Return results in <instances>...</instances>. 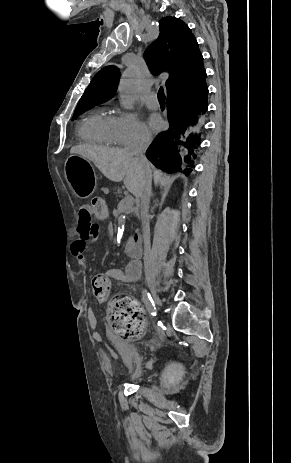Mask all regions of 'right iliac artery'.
Returning a JSON list of instances; mask_svg holds the SVG:
<instances>
[{
    "mask_svg": "<svg viewBox=\"0 0 291 463\" xmlns=\"http://www.w3.org/2000/svg\"><path fill=\"white\" fill-rule=\"evenodd\" d=\"M143 301L146 305V308L147 310L149 311V313L153 316L156 315V307H155V304L153 302V299L150 295V293H148L146 290L143 291Z\"/></svg>",
    "mask_w": 291,
    "mask_h": 463,
    "instance_id": "right-iliac-artery-1",
    "label": "right iliac artery"
}]
</instances>
